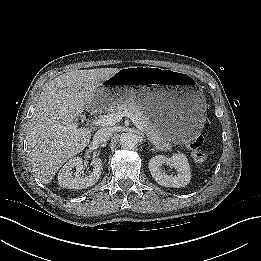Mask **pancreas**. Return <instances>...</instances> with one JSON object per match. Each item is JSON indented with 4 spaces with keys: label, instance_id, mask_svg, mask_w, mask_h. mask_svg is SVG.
Here are the masks:
<instances>
[{
    "label": "pancreas",
    "instance_id": "cf45deb5",
    "mask_svg": "<svg viewBox=\"0 0 261 261\" xmlns=\"http://www.w3.org/2000/svg\"><path fill=\"white\" fill-rule=\"evenodd\" d=\"M128 111L133 113L134 116L141 122L144 131L148 137V140L155 145L159 150H169L171 149V141L166 137L162 136L154 127L153 123L150 121L149 115L144 110V108L134 101L122 102L112 104L108 108V114H116L118 112Z\"/></svg>",
    "mask_w": 261,
    "mask_h": 261
}]
</instances>
